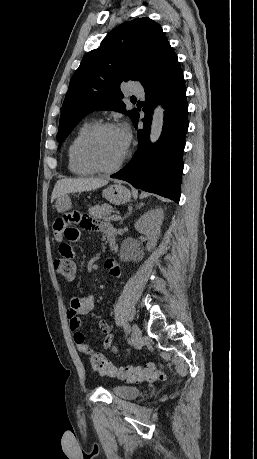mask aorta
Returning <instances> with one entry per match:
<instances>
[{"label": "aorta", "instance_id": "1", "mask_svg": "<svg viewBox=\"0 0 257 459\" xmlns=\"http://www.w3.org/2000/svg\"><path fill=\"white\" fill-rule=\"evenodd\" d=\"M164 123V109L161 105H158L153 113L150 140L152 143L156 142L161 135Z\"/></svg>", "mask_w": 257, "mask_h": 459}]
</instances>
